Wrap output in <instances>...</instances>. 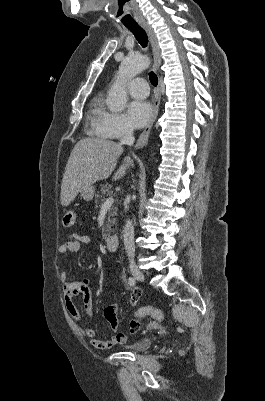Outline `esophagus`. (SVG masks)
I'll list each match as a JSON object with an SVG mask.
<instances>
[{"label": "esophagus", "instance_id": "esophagus-1", "mask_svg": "<svg viewBox=\"0 0 265 401\" xmlns=\"http://www.w3.org/2000/svg\"><path fill=\"white\" fill-rule=\"evenodd\" d=\"M139 25L145 30L146 34L148 35V38L150 40V45L152 49V55H153V69L156 73L159 72L160 66H161V51L160 47L158 45V40L156 37V34L154 33V30L150 27V25L145 21V20H138ZM160 99H161V93H160V82H158V85L155 90V101H154V108H153V113L152 116L145 126V129L139 136L135 147L136 148H142L143 146L146 145L151 128L156 120V117L158 115L159 111V106H160Z\"/></svg>", "mask_w": 265, "mask_h": 401}]
</instances>
